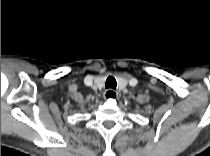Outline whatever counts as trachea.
Segmentation results:
<instances>
[{
  "instance_id": "3493384b",
  "label": "trachea",
  "mask_w": 210,
  "mask_h": 156,
  "mask_svg": "<svg viewBox=\"0 0 210 156\" xmlns=\"http://www.w3.org/2000/svg\"><path fill=\"white\" fill-rule=\"evenodd\" d=\"M117 82L116 79L112 76H109L105 82V88H111V89H116Z\"/></svg>"
}]
</instances>
